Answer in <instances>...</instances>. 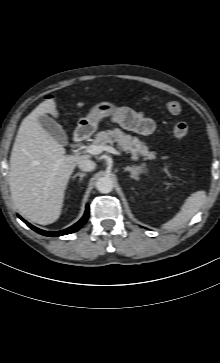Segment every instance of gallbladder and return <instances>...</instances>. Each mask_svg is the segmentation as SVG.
Listing matches in <instances>:
<instances>
[{
	"label": "gallbladder",
	"mask_w": 220,
	"mask_h": 363,
	"mask_svg": "<svg viewBox=\"0 0 220 363\" xmlns=\"http://www.w3.org/2000/svg\"><path fill=\"white\" fill-rule=\"evenodd\" d=\"M38 119L43 129L55 140L63 145L68 143L67 134L60 124L46 115H42Z\"/></svg>",
	"instance_id": "gallbladder-1"
}]
</instances>
